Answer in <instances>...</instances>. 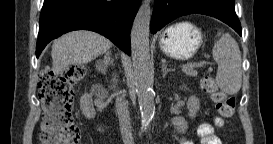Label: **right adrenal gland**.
I'll return each instance as SVG.
<instances>
[{
    "label": "right adrenal gland",
    "instance_id": "2a0ac1e0",
    "mask_svg": "<svg viewBox=\"0 0 273 144\" xmlns=\"http://www.w3.org/2000/svg\"><path fill=\"white\" fill-rule=\"evenodd\" d=\"M113 65H114V60L111 57V51H107L105 53L103 60L97 61L98 71L101 72L103 75H107L108 67Z\"/></svg>",
    "mask_w": 273,
    "mask_h": 144
}]
</instances>
